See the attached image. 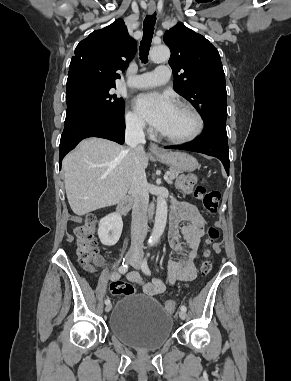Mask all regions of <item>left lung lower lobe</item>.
<instances>
[{
    "instance_id": "left-lung-lower-lobe-1",
    "label": "left lung lower lobe",
    "mask_w": 291,
    "mask_h": 381,
    "mask_svg": "<svg viewBox=\"0 0 291 381\" xmlns=\"http://www.w3.org/2000/svg\"><path fill=\"white\" fill-rule=\"evenodd\" d=\"M167 149H181L204 153L220 159L229 175V152L226 124H208L203 133L193 142L184 145L166 146Z\"/></svg>"
}]
</instances>
